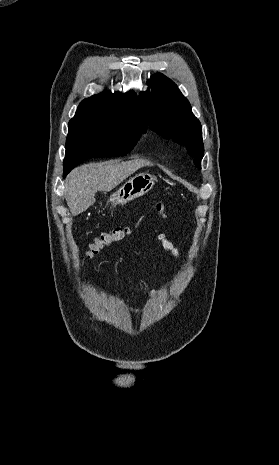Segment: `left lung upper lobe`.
<instances>
[{
    "instance_id": "obj_1",
    "label": "left lung upper lobe",
    "mask_w": 279,
    "mask_h": 465,
    "mask_svg": "<svg viewBox=\"0 0 279 465\" xmlns=\"http://www.w3.org/2000/svg\"><path fill=\"white\" fill-rule=\"evenodd\" d=\"M149 84L151 91L140 93L149 126L164 138L184 144L200 169L204 155L202 127L193 115L190 103L178 87L160 73L155 74Z\"/></svg>"
}]
</instances>
